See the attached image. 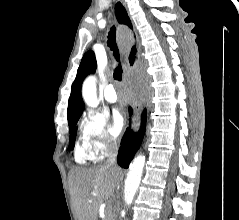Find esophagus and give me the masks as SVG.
Masks as SVG:
<instances>
[{"mask_svg": "<svg viewBox=\"0 0 239 220\" xmlns=\"http://www.w3.org/2000/svg\"><path fill=\"white\" fill-rule=\"evenodd\" d=\"M115 14L117 17V20L120 24H125L128 25V30H126L125 32L128 33V37H131V41L132 43L130 44L131 47L129 48V51L126 55V59L128 62L127 68L128 71L130 73L131 79H132V83L131 86L133 88L134 92L138 91L139 88V83H137L136 80V76H137V71H134L133 69L136 68L137 66V61L139 60L140 57V53H141V45L139 42H137L136 37L134 36L135 34L138 33L137 29L135 28L134 24H131L130 18L125 10V8L123 7V5L118 2L115 6ZM123 26L124 28L126 26ZM132 107L134 108V114L136 117V120H132L133 122L136 121V123H141V118L143 117V110L140 109V107H142V99H141V93H132Z\"/></svg>", "mask_w": 239, "mask_h": 220, "instance_id": "obj_1", "label": "esophagus"}]
</instances>
